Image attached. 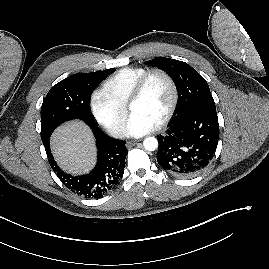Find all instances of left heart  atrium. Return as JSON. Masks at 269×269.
Instances as JSON below:
<instances>
[{
    "label": "left heart atrium",
    "mask_w": 269,
    "mask_h": 269,
    "mask_svg": "<svg viewBox=\"0 0 269 269\" xmlns=\"http://www.w3.org/2000/svg\"><path fill=\"white\" fill-rule=\"evenodd\" d=\"M154 128L155 124L151 121L138 114H132L126 125V135L139 137L151 132Z\"/></svg>",
    "instance_id": "1"
}]
</instances>
